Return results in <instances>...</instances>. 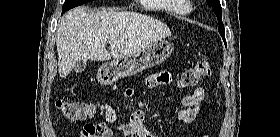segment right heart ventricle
Returning <instances> with one entry per match:
<instances>
[{
    "label": "right heart ventricle",
    "instance_id": "right-heart-ventricle-1",
    "mask_svg": "<svg viewBox=\"0 0 280 137\" xmlns=\"http://www.w3.org/2000/svg\"><path fill=\"white\" fill-rule=\"evenodd\" d=\"M150 2H162L164 9L175 16H183L191 9L185 0H144Z\"/></svg>",
    "mask_w": 280,
    "mask_h": 137
}]
</instances>
